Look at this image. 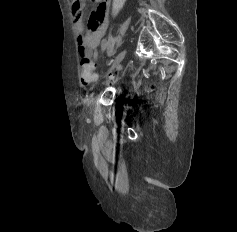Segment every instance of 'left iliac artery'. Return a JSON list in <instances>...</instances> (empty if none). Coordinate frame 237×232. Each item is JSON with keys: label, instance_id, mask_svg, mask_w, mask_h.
<instances>
[{"label": "left iliac artery", "instance_id": "left-iliac-artery-1", "mask_svg": "<svg viewBox=\"0 0 237 232\" xmlns=\"http://www.w3.org/2000/svg\"><path fill=\"white\" fill-rule=\"evenodd\" d=\"M106 48H107V40L103 39L102 42H101V50H102V52H104Z\"/></svg>", "mask_w": 237, "mask_h": 232}]
</instances>
